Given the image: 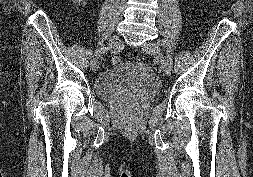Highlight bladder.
Wrapping results in <instances>:
<instances>
[{"label":"bladder","instance_id":"1","mask_svg":"<svg viewBox=\"0 0 253 177\" xmlns=\"http://www.w3.org/2000/svg\"><path fill=\"white\" fill-rule=\"evenodd\" d=\"M94 90L103 99L132 97L148 100L160 92L161 83L149 66L128 61L105 69L96 78Z\"/></svg>","mask_w":253,"mask_h":177}]
</instances>
